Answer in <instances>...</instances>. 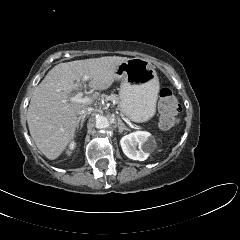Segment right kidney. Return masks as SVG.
I'll list each match as a JSON object with an SVG mask.
<instances>
[{
  "label": "right kidney",
  "mask_w": 240,
  "mask_h": 240,
  "mask_svg": "<svg viewBox=\"0 0 240 240\" xmlns=\"http://www.w3.org/2000/svg\"><path fill=\"white\" fill-rule=\"evenodd\" d=\"M74 148H75V143L72 142V143L70 144V146H69V149H70V150H73ZM68 154H70L69 151H68Z\"/></svg>",
  "instance_id": "right-kidney-1"
}]
</instances>
